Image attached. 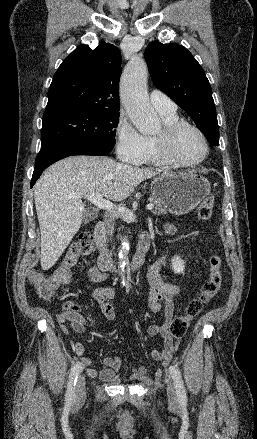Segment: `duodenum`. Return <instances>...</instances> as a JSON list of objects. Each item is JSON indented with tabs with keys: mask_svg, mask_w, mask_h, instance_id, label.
I'll return each mask as SVG.
<instances>
[{
	"mask_svg": "<svg viewBox=\"0 0 257 439\" xmlns=\"http://www.w3.org/2000/svg\"><path fill=\"white\" fill-rule=\"evenodd\" d=\"M94 238L98 249L100 250V255L98 257V267L103 272L114 271V265L112 263L111 257L107 250L106 245V224L104 222H99L94 230ZM149 249L148 240H140L137 246V250L131 260L130 269L137 270L144 263L145 254ZM118 271V270H116Z\"/></svg>",
	"mask_w": 257,
	"mask_h": 439,
	"instance_id": "410a0bca",
	"label": "duodenum"
}]
</instances>
